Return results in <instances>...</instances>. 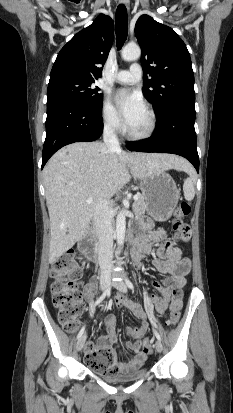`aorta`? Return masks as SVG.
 Masks as SVG:
<instances>
[{
	"mask_svg": "<svg viewBox=\"0 0 233 413\" xmlns=\"http://www.w3.org/2000/svg\"><path fill=\"white\" fill-rule=\"evenodd\" d=\"M121 56L125 61H134L141 56V49L137 45H128L121 51ZM126 217L125 210L122 209L116 218V238L119 247H122L125 239Z\"/></svg>",
	"mask_w": 233,
	"mask_h": 413,
	"instance_id": "762f6f07",
	"label": "aorta"
}]
</instances>
